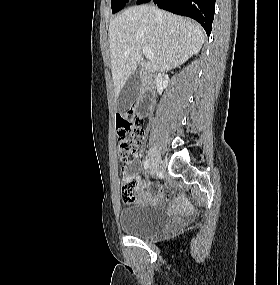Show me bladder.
I'll list each match as a JSON object with an SVG mask.
<instances>
[{"instance_id":"1","label":"bladder","mask_w":280,"mask_h":285,"mask_svg":"<svg viewBox=\"0 0 280 285\" xmlns=\"http://www.w3.org/2000/svg\"><path fill=\"white\" fill-rule=\"evenodd\" d=\"M172 219L159 208L147 203H134L119 212L121 230L131 236L146 238L162 232Z\"/></svg>"}]
</instances>
